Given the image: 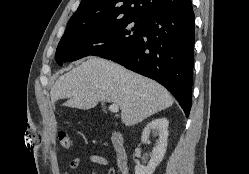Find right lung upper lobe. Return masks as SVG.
I'll return each instance as SVG.
<instances>
[{"mask_svg":"<svg viewBox=\"0 0 249 174\" xmlns=\"http://www.w3.org/2000/svg\"><path fill=\"white\" fill-rule=\"evenodd\" d=\"M189 4L191 0H81L67 28L108 22L122 17L146 20L158 12Z\"/></svg>","mask_w":249,"mask_h":174,"instance_id":"1","label":"right lung upper lobe"}]
</instances>
